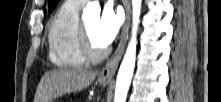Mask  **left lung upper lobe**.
I'll return each mask as SVG.
<instances>
[{"instance_id":"obj_1","label":"left lung upper lobe","mask_w":221,"mask_h":102,"mask_svg":"<svg viewBox=\"0 0 221 102\" xmlns=\"http://www.w3.org/2000/svg\"><path fill=\"white\" fill-rule=\"evenodd\" d=\"M59 0H48V9L51 12L58 4Z\"/></svg>"}]
</instances>
